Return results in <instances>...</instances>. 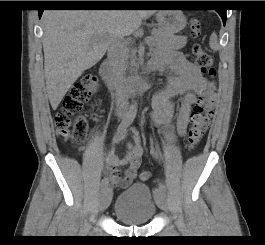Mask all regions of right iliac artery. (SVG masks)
Masks as SVG:
<instances>
[{
	"label": "right iliac artery",
	"mask_w": 265,
	"mask_h": 245,
	"mask_svg": "<svg viewBox=\"0 0 265 245\" xmlns=\"http://www.w3.org/2000/svg\"><path fill=\"white\" fill-rule=\"evenodd\" d=\"M137 113V107L136 105L132 104L129 108V111L127 112L124 119L121 121V123L118 125L116 129V134L123 133L126 131L127 127L133 122V120L136 117ZM108 179L104 177L101 181V188L102 190L105 189L108 186Z\"/></svg>",
	"instance_id": "1"
}]
</instances>
